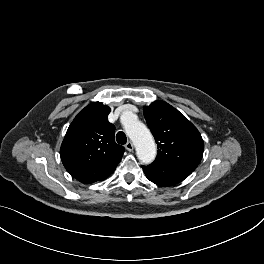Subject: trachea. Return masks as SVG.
I'll use <instances>...</instances> for the list:
<instances>
[{
  "label": "trachea",
  "instance_id": "trachea-1",
  "mask_svg": "<svg viewBox=\"0 0 264 264\" xmlns=\"http://www.w3.org/2000/svg\"><path fill=\"white\" fill-rule=\"evenodd\" d=\"M116 140L119 144H126L127 137L123 131H119L116 135Z\"/></svg>",
  "mask_w": 264,
  "mask_h": 264
}]
</instances>
